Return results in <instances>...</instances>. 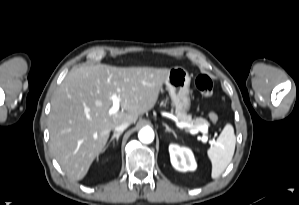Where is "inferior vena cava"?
I'll return each mask as SVG.
<instances>
[{"instance_id":"inferior-vena-cava-1","label":"inferior vena cava","mask_w":299,"mask_h":205,"mask_svg":"<svg viewBox=\"0 0 299 205\" xmlns=\"http://www.w3.org/2000/svg\"><path fill=\"white\" fill-rule=\"evenodd\" d=\"M130 125L129 122H123L120 125L114 128L115 133L123 132L128 126Z\"/></svg>"}]
</instances>
